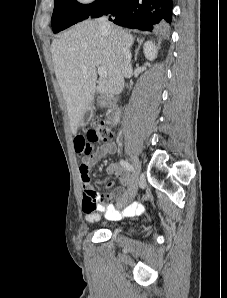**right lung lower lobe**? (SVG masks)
Instances as JSON below:
<instances>
[{
	"instance_id": "obj_1",
	"label": "right lung lower lobe",
	"mask_w": 227,
	"mask_h": 298,
	"mask_svg": "<svg viewBox=\"0 0 227 298\" xmlns=\"http://www.w3.org/2000/svg\"><path fill=\"white\" fill-rule=\"evenodd\" d=\"M172 0H106L87 18L111 14L115 24L152 31L162 24L171 22Z\"/></svg>"
}]
</instances>
